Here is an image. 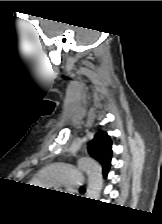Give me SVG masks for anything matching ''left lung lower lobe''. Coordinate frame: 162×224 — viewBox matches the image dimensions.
<instances>
[{
    "mask_svg": "<svg viewBox=\"0 0 162 224\" xmlns=\"http://www.w3.org/2000/svg\"><path fill=\"white\" fill-rule=\"evenodd\" d=\"M104 173V177H107L108 172H103Z\"/></svg>",
    "mask_w": 162,
    "mask_h": 224,
    "instance_id": "1",
    "label": "left lung lower lobe"
}]
</instances>
